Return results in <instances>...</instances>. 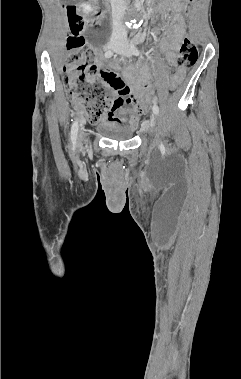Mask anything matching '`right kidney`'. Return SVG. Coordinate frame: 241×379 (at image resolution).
I'll return each instance as SVG.
<instances>
[{
	"instance_id": "right-kidney-1",
	"label": "right kidney",
	"mask_w": 241,
	"mask_h": 379,
	"mask_svg": "<svg viewBox=\"0 0 241 379\" xmlns=\"http://www.w3.org/2000/svg\"><path fill=\"white\" fill-rule=\"evenodd\" d=\"M82 7H83V12L85 13H90L92 11V7L90 4H83Z\"/></svg>"
}]
</instances>
